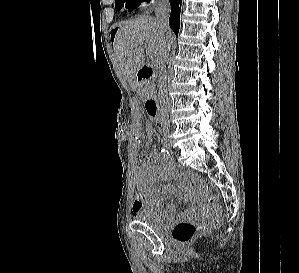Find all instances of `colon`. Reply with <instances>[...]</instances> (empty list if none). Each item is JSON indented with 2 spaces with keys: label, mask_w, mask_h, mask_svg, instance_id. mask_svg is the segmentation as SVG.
Returning a JSON list of instances; mask_svg holds the SVG:
<instances>
[{
  "label": "colon",
  "mask_w": 299,
  "mask_h": 273,
  "mask_svg": "<svg viewBox=\"0 0 299 273\" xmlns=\"http://www.w3.org/2000/svg\"><path fill=\"white\" fill-rule=\"evenodd\" d=\"M143 143L145 148H149L152 144V138L144 135ZM204 211L206 217L210 220V225H216L219 222V206L215 196L211 195L205 199ZM208 227L209 225L205 223L181 221L174 225L172 237L178 243H187L195 236L206 232Z\"/></svg>",
  "instance_id": "obj_1"
}]
</instances>
